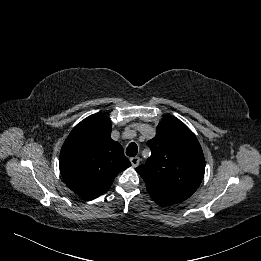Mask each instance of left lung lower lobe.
Masks as SVG:
<instances>
[{
    "instance_id": "obj_1",
    "label": "left lung lower lobe",
    "mask_w": 261,
    "mask_h": 261,
    "mask_svg": "<svg viewBox=\"0 0 261 261\" xmlns=\"http://www.w3.org/2000/svg\"><path fill=\"white\" fill-rule=\"evenodd\" d=\"M152 199L159 205L170 206L185 201L187 198L175 194L149 192Z\"/></svg>"
}]
</instances>
